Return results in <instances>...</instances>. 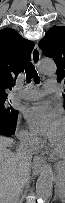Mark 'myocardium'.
Listing matches in <instances>:
<instances>
[{
  "label": "myocardium",
  "instance_id": "1",
  "mask_svg": "<svg viewBox=\"0 0 65 203\" xmlns=\"http://www.w3.org/2000/svg\"><path fill=\"white\" fill-rule=\"evenodd\" d=\"M49 149H50L51 153H52L54 156L59 157V158L65 157V151H64V152H59L58 150H56V149L52 146L51 143L49 144Z\"/></svg>",
  "mask_w": 65,
  "mask_h": 203
}]
</instances>
